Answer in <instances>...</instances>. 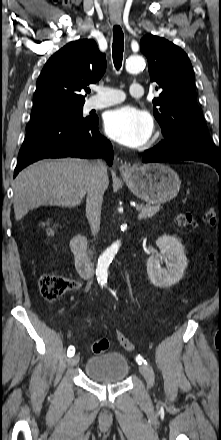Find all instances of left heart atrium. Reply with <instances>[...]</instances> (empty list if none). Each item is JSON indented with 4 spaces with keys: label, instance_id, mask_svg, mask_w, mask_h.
Masks as SVG:
<instances>
[{
    "label": "left heart atrium",
    "instance_id": "obj_1",
    "mask_svg": "<svg viewBox=\"0 0 221 440\" xmlns=\"http://www.w3.org/2000/svg\"><path fill=\"white\" fill-rule=\"evenodd\" d=\"M104 126L110 138L129 147L143 145L152 132V120L149 114L132 106L109 112Z\"/></svg>",
    "mask_w": 221,
    "mask_h": 440
}]
</instances>
